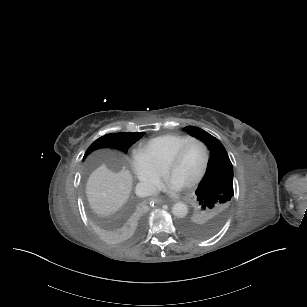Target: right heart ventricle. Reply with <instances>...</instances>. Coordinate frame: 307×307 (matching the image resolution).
<instances>
[{
    "label": "right heart ventricle",
    "mask_w": 307,
    "mask_h": 307,
    "mask_svg": "<svg viewBox=\"0 0 307 307\" xmlns=\"http://www.w3.org/2000/svg\"><path fill=\"white\" fill-rule=\"evenodd\" d=\"M189 138L191 136L187 134H164L152 139L141 140L133 146L132 150L144 153L152 162L163 165L164 161Z\"/></svg>",
    "instance_id": "obj_1"
}]
</instances>
